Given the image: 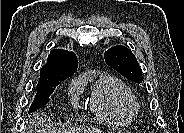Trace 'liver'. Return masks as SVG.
Here are the masks:
<instances>
[{"mask_svg":"<svg viewBox=\"0 0 184 133\" xmlns=\"http://www.w3.org/2000/svg\"><path fill=\"white\" fill-rule=\"evenodd\" d=\"M33 121H35V131L37 133H52V130L46 126L44 127L42 123L44 122L43 118L39 114L34 115ZM38 127V130L36 129ZM68 133H102L98 129H81V128H72Z\"/></svg>","mask_w":184,"mask_h":133,"instance_id":"liver-1","label":"liver"}]
</instances>
